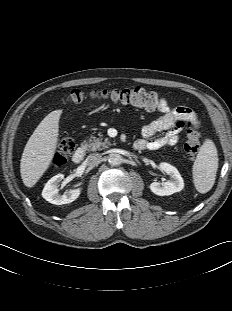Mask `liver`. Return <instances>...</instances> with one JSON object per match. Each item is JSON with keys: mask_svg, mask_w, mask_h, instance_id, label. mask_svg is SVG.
<instances>
[{"mask_svg": "<svg viewBox=\"0 0 232 311\" xmlns=\"http://www.w3.org/2000/svg\"><path fill=\"white\" fill-rule=\"evenodd\" d=\"M61 114V109L49 113L36 127L25 145L20 173L24 185L29 188L38 182L50 166L58 144Z\"/></svg>", "mask_w": 232, "mask_h": 311, "instance_id": "obj_1", "label": "liver"}]
</instances>
